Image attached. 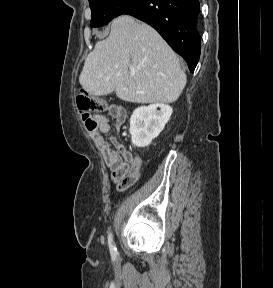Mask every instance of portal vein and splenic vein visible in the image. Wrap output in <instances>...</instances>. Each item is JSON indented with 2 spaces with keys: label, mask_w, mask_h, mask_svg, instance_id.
<instances>
[{
  "label": "portal vein and splenic vein",
  "mask_w": 273,
  "mask_h": 288,
  "mask_svg": "<svg viewBox=\"0 0 273 288\" xmlns=\"http://www.w3.org/2000/svg\"><path fill=\"white\" fill-rule=\"evenodd\" d=\"M134 74H135L134 72H131V73H130L131 76H133Z\"/></svg>",
  "instance_id": "portal-vein-and-splenic-vein-1"
}]
</instances>
